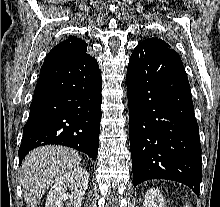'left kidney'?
Here are the masks:
<instances>
[{"instance_id":"1","label":"left kidney","mask_w":220,"mask_h":207,"mask_svg":"<svg viewBox=\"0 0 220 207\" xmlns=\"http://www.w3.org/2000/svg\"><path fill=\"white\" fill-rule=\"evenodd\" d=\"M143 207H165V200L161 192L156 188L149 189L145 194Z\"/></svg>"}]
</instances>
